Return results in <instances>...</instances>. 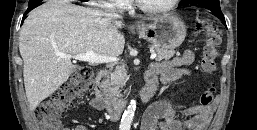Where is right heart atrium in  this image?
Returning a JSON list of instances; mask_svg holds the SVG:
<instances>
[{
  "label": "right heart atrium",
  "instance_id": "1",
  "mask_svg": "<svg viewBox=\"0 0 257 130\" xmlns=\"http://www.w3.org/2000/svg\"><path fill=\"white\" fill-rule=\"evenodd\" d=\"M130 3L131 0H104L103 2H100L102 5L118 9H125Z\"/></svg>",
  "mask_w": 257,
  "mask_h": 130
}]
</instances>
